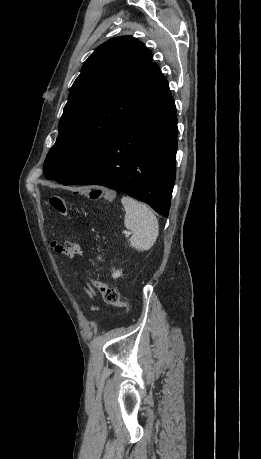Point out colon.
I'll list each match as a JSON object with an SVG mask.
<instances>
[{
	"mask_svg": "<svg viewBox=\"0 0 261 459\" xmlns=\"http://www.w3.org/2000/svg\"><path fill=\"white\" fill-rule=\"evenodd\" d=\"M74 197H89L90 199H100L104 198L108 201L113 199V195L108 192H104L98 188H74L73 189ZM50 204L53 209L62 216L68 215V206L66 200L58 195H54L50 198ZM101 260L100 257H97V261ZM92 285L101 293L104 302L108 305L115 307H126L129 308V304L121 301L120 294L117 289L108 286L107 284L91 278Z\"/></svg>",
	"mask_w": 261,
	"mask_h": 459,
	"instance_id": "obj_1",
	"label": "colon"
}]
</instances>
